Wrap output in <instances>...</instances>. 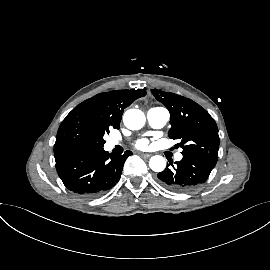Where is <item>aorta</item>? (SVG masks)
Listing matches in <instances>:
<instances>
[{
  "label": "aorta",
  "instance_id": "obj_1",
  "mask_svg": "<svg viewBox=\"0 0 270 270\" xmlns=\"http://www.w3.org/2000/svg\"><path fill=\"white\" fill-rule=\"evenodd\" d=\"M124 125L130 130H139L145 124V115L139 109H129L123 115ZM150 168L155 172H161L166 167L164 157L155 155L149 161Z\"/></svg>",
  "mask_w": 270,
  "mask_h": 270
}]
</instances>
